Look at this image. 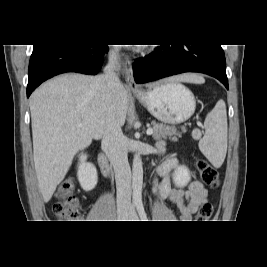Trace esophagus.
Returning <instances> with one entry per match:
<instances>
[{
    "label": "esophagus",
    "mask_w": 267,
    "mask_h": 267,
    "mask_svg": "<svg viewBox=\"0 0 267 267\" xmlns=\"http://www.w3.org/2000/svg\"><path fill=\"white\" fill-rule=\"evenodd\" d=\"M126 64L131 65V60L126 57ZM127 87L132 91H140V86L135 82L131 69L126 70Z\"/></svg>",
    "instance_id": "obj_1"
}]
</instances>
